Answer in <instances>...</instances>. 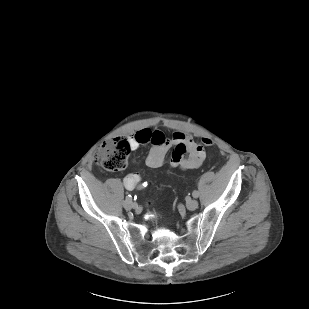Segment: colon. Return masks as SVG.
I'll use <instances>...</instances> for the list:
<instances>
[{
    "label": "colon",
    "mask_w": 309,
    "mask_h": 309,
    "mask_svg": "<svg viewBox=\"0 0 309 309\" xmlns=\"http://www.w3.org/2000/svg\"><path fill=\"white\" fill-rule=\"evenodd\" d=\"M205 146L213 144L211 139H203ZM131 146L126 139H116L104 143L97 150L95 159L97 164L106 171L118 172L126 168Z\"/></svg>",
    "instance_id": "colon-1"
}]
</instances>
